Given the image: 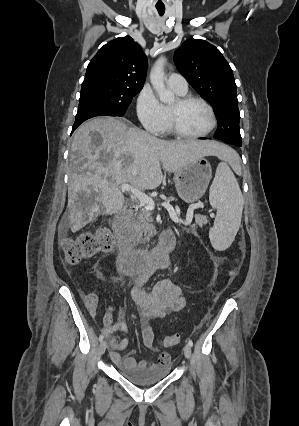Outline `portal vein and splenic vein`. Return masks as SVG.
Returning a JSON list of instances; mask_svg holds the SVG:
<instances>
[{
	"mask_svg": "<svg viewBox=\"0 0 299 426\" xmlns=\"http://www.w3.org/2000/svg\"><path fill=\"white\" fill-rule=\"evenodd\" d=\"M119 188L123 192H131L135 196V198H137L140 201V203L144 205L147 209L152 210L155 207V203L151 197L147 196L145 193L134 188L133 186L127 183H123L119 185ZM161 206H163L164 208L168 210L170 214V218L172 219L173 222L182 223V221L178 218L174 208L169 204V202H164L161 204ZM202 206H203L202 203H195L190 205L187 212L186 221H185L187 224L192 222L194 210Z\"/></svg>",
	"mask_w": 299,
	"mask_h": 426,
	"instance_id": "portal-vein-and-splenic-vein-1",
	"label": "portal vein and splenic vein"
}]
</instances>
